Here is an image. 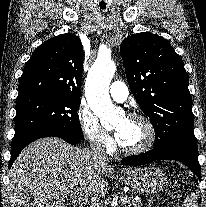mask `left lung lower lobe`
I'll list each match as a JSON object with an SVG mask.
<instances>
[{
	"label": "left lung lower lobe",
	"mask_w": 206,
	"mask_h": 207,
	"mask_svg": "<svg viewBox=\"0 0 206 207\" xmlns=\"http://www.w3.org/2000/svg\"><path fill=\"white\" fill-rule=\"evenodd\" d=\"M156 160H177L184 163L201 180V169L198 161L197 143L178 142L163 149L130 156L123 159V164L130 166H140Z\"/></svg>",
	"instance_id": "1"
}]
</instances>
